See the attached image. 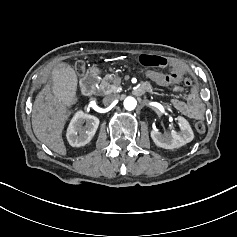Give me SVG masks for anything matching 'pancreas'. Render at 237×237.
I'll return each mask as SVG.
<instances>
[{
    "label": "pancreas",
    "instance_id": "1",
    "mask_svg": "<svg viewBox=\"0 0 237 237\" xmlns=\"http://www.w3.org/2000/svg\"><path fill=\"white\" fill-rule=\"evenodd\" d=\"M113 81V77L109 74H107L103 80L101 81V84H100V91L103 93V94H108L110 92H113L112 90V87L113 86H116V84H111L110 82Z\"/></svg>",
    "mask_w": 237,
    "mask_h": 237
}]
</instances>
